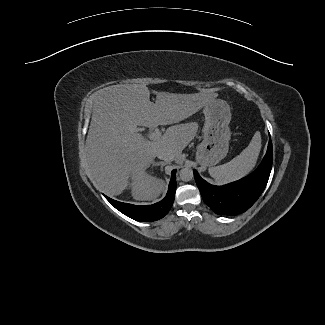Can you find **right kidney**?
Returning a JSON list of instances; mask_svg holds the SVG:
<instances>
[{
	"label": "right kidney",
	"mask_w": 325,
	"mask_h": 325,
	"mask_svg": "<svg viewBox=\"0 0 325 325\" xmlns=\"http://www.w3.org/2000/svg\"><path fill=\"white\" fill-rule=\"evenodd\" d=\"M132 195L136 200H152L160 195L164 183L147 174L135 175L132 177Z\"/></svg>",
	"instance_id": "ca27d5eb"
}]
</instances>
